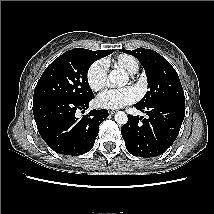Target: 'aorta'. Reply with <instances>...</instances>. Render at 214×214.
<instances>
[{"mask_svg": "<svg viewBox=\"0 0 214 214\" xmlns=\"http://www.w3.org/2000/svg\"><path fill=\"white\" fill-rule=\"evenodd\" d=\"M109 81L110 83L113 85V86H124L126 84V79L124 77L123 74H121L119 71L117 70H112L110 73H109ZM115 121L118 123V124H126L127 121H128V117H127V114L123 111H118L116 114H115V117H114Z\"/></svg>", "mask_w": 214, "mask_h": 214, "instance_id": "762f6f07", "label": "aorta"}]
</instances>
